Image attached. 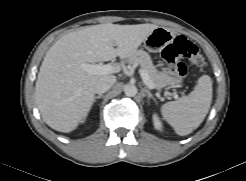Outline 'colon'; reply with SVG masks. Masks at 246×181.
Returning a JSON list of instances; mask_svg holds the SVG:
<instances>
[{"label":"colon","mask_w":246,"mask_h":181,"mask_svg":"<svg viewBox=\"0 0 246 181\" xmlns=\"http://www.w3.org/2000/svg\"><path fill=\"white\" fill-rule=\"evenodd\" d=\"M161 58L170 72L181 82L188 74V68L182 59H188L192 65L197 67L204 64V58L197 46L184 36L176 37L171 44L166 46L162 50Z\"/></svg>","instance_id":"1"}]
</instances>
